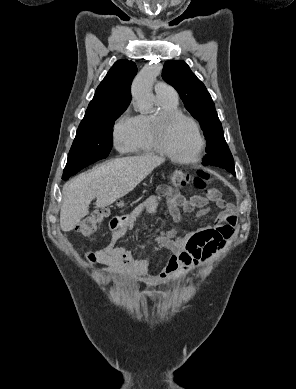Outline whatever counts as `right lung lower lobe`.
<instances>
[{"label": "right lung lower lobe", "mask_w": 296, "mask_h": 389, "mask_svg": "<svg viewBox=\"0 0 296 389\" xmlns=\"http://www.w3.org/2000/svg\"><path fill=\"white\" fill-rule=\"evenodd\" d=\"M77 172L76 171H71L69 173H63V176H62V179L63 180H67L70 176L76 174Z\"/></svg>", "instance_id": "98d812e1"}]
</instances>
